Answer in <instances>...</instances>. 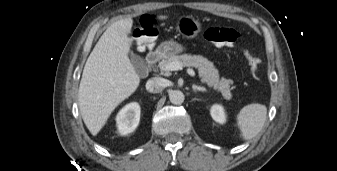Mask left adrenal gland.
<instances>
[{
	"label": "left adrenal gland",
	"instance_id": "a2214340",
	"mask_svg": "<svg viewBox=\"0 0 337 171\" xmlns=\"http://www.w3.org/2000/svg\"><path fill=\"white\" fill-rule=\"evenodd\" d=\"M194 92L200 91V92H206V89L204 87L199 86H193Z\"/></svg>",
	"mask_w": 337,
	"mask_h": 171
}]
</instances>
